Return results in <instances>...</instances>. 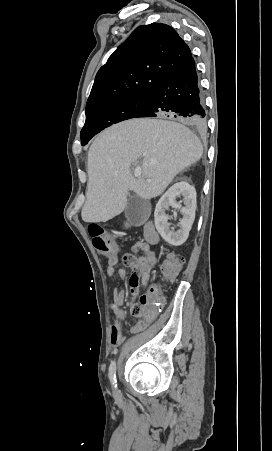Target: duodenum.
Wrapping results in <instances>:
<instances>
[{"label": "duodenum", "mask_w": 272, "mask_h": 451, "mask_svg": "<svg viewBox=\"0 0 272 451\" xmlns=\"http://www.w3.org/2000/svg\"><path fill=\"white\" fill-rule=\"evenodd\" d=\"M145 237L151 244H155L158 241V234L151 224H148L145 227Z\"/></svg>", "instance_id": "obj_1"}]
</instances>
